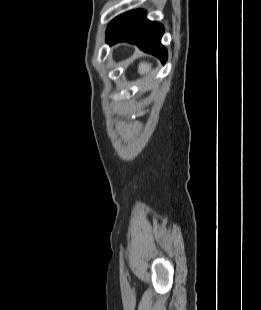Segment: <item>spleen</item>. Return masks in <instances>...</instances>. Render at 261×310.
<instances>
[{
    "mask_svg": "<svg viewBox=\"0 0 261 310\" xmlns=\"http://www.w3.org/2000/svg\"><path fill=\"white\" fill-rule=\"evenodd\" d=\"M151 65L149 63L142 62L138 66V73L140 75H146L151 72Z\"/></svg>",
    "mask_w": 261,
    "mask_h": 310,
    "instance_id": "obj_1",
    "label": "spleen"
}]
</instances>
